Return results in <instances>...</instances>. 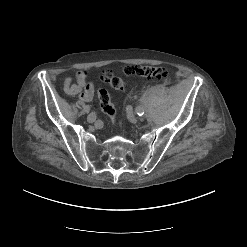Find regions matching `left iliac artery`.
Returning a JSON list of instances; mask_svg holds the SVG:
<instances>
[{
	"label": "left iliac artery",
	"mask_w": 247,
	"mask_h": 247,
	"mask_svg": "<svg viewBox=\"0 0 247 247\" xmlns=\"http://www.w3.org/2000/svg\"><path fill=\"white\" fill-rule=\"evenodd\" d=\"M135 111L139 116H142L144 114V110L141 106H137Z\"/></svg>",
	"instance_id": "1"
}]
</instances>
